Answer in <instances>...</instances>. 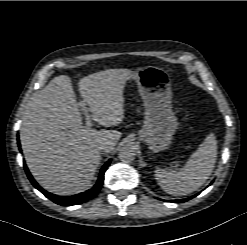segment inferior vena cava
Masks as SVG:
<instances>
[{
    "label": "inferior vena cava",
    "instance_id": "1",
    "mask_svg": "<svg viewBox=\"0 0 247 245\" xmlns=\"http://www.w3.org/2000/svg\"><path fill=\"white\" fill-rule=\"evenodd\" d=\"M112 149V143L107 141L99 145V150L102 152H109Z\"/></svg>",
    "mask_w": 247,
    "mask_h": 245
}]
</instances>
